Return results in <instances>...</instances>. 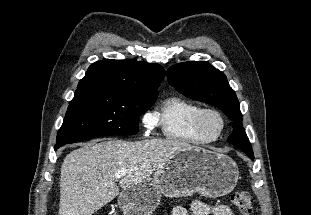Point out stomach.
<instances>
[{
	"label": "stomach",
	"instance_id": "1",
	"mask_svg": "<svg viewBox=\"0 0 311 215\" xmlns=\"http://www.w3.org/2000/svg\"><path fill=\"white\" fill-rule=\"evenodd\" d=\"M238 175L230 157L192 146L163 163L152 178L124 189L118 204L124 215H152L162 195L221 197L234 189Z\"/></svg>",
	"mask_w": 311,
	"mask_h": 215
}]
</instances>
